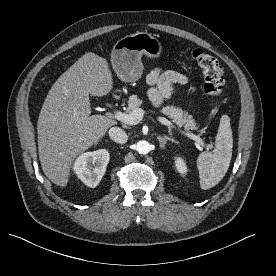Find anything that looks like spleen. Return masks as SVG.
<instances>
[{"label": "spleen", "mask_w": 276, "mask_h": 276, "mask_svg": "<svg viewBox=\"0 0 276 276\" xmlns=\"http://www.w3.org/2000/svg\"><path fill=\"white\" fill-rule=\"evenodd\" d=\"M232 148L230 118L223 115L220 119L214 150L202 152L197 158L200 187L203 190L214 187L223 179L230 165Z\"/></svg>", "instance_id": "obj_1"}]
</instances>
